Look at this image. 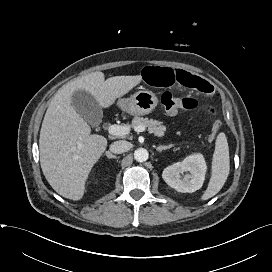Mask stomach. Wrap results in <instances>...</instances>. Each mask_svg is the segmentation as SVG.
Masks as SVG:
<instances>
[{
  "instance_id": "1",
  "label": "stomach",
  "mask_w": 272,
  "mask_h": 272,
  "mask_svg": "<svg viewBox=\"0 0 272 272\" xmlns=\"http://www.w3.org/2000/svg\"><path fill=\"white\" fill-rule=\"evenodd\" d=\"M157 105V96L149 90H141L129 98L118 100V106L123 111L135 116L149 114Z\"/></svg>"
}]
</instances>
